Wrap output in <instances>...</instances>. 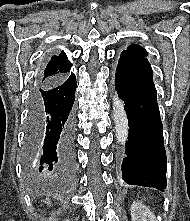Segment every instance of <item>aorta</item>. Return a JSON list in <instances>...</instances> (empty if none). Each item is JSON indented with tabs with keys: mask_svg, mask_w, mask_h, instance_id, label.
I'll return each mask as SVG.
<instances>
[{
	"mask_svg": "<svg viewBox=\"0 0 190 221\" xmlns=\"http://www.w3.org/2000/svg\"><path fill=\"white\" fill-rule=\"evenodd\" d=\"M113 117L117 140L123 144L127 140L129 127L124 103L117 95L113 99Z\"/></svg>",
	"mask_w": 190,
	"mask_h": 221,
	"instance_id": "1",
	"label": "aorta"
}]
</instances>
